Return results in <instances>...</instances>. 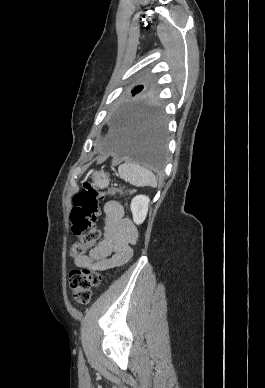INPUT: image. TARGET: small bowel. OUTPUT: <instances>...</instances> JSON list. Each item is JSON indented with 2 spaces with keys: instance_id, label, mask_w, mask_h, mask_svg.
Returning a JSON list of instances; mask_svg holds the SVG:
<instances>
[{
  "instance_id": "small-bowel-1",
  "label": "small bowel",
  "mask_w": 265,
  "mask_h": 388,
  "mask_svg": "<svg viewBox=\"0 0 265 388\" xmlns=\"http://www.w3.org/2000/svg\"><path fill=\"white\" fill-rule=\"evenodd\" d=\"M103 239L88 254L74 258L77 267L93 271L112 270L125 264L133 255L138 239L134 222L124 217L122 205L114 200L104 205Z\"/></svg>"
}]
</instances>
